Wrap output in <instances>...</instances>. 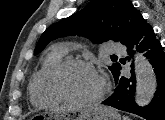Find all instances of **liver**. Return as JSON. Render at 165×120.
I'll return each mask as SVG.
<instances>
[{
  "mask_svg": "<svg viewBox=\"0 0 165 120\" xmlns=\"http://www.w3.org/2000/svg\"><path fill=\"white\" fill-rule=\"evenodd\" d=\"M66 110V108H58V109H56V111H65Z\"/></svg>",
  "mask_w": 165,
  "mask_h": 120,
  "instance_id": "6515ba94",
  "label": "liver"
}]
</instances>
